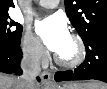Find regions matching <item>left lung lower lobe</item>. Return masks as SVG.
<instances>
[{"label": "left lung lower lobe", "mask_w": 107, "mask_h": 89, "mask_svg": "<svg viewBox=\"0 0 107 89\" xmlns=\"http://www.w3.org/2000/svg\"><path fill=\"white\" fill-rule=\"evenodd\" d=\"M85 61L74 71L55 73V81L96 79L107 83V30L99 31L88 40Z\"/></svg>", "instance_id": "0a47b994"}]
</instances>
